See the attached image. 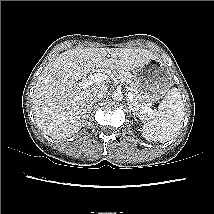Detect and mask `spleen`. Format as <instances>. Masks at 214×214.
<instances>
[{
    "label": "spleen",
    "mask_w": 214,
    "mask_h": 214,
    "mask_svg": "<svg viewBox=\"0 0 214 214\" xmlns=\"http://www.w3.org/2000/svg\"><path fill=\"white\" fill-rule=\"evenodd\" d=\"M184 103L177 88L169 90L158 107V113L143 116V137L148 141L166 142L176 137L184 120Z\"/></svg>",
    "instance_id": "spleen-1"
}]
</instances>
